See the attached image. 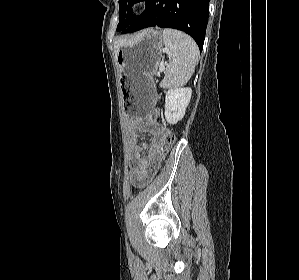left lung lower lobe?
<instances>
[{
  "label": "left lung lower lobe",
  "instance_id": "left-lung-lower-lobe-1",
  "mask_svg": "<svg viewBox=\"0 0 299 280\" xmlns=\"http://www.w3.org/2000/svg\"><path fill=\"white\" fill-rule=\"evenodd\" d=\"M146 6V10L134 17L122 34L152 26L174 28L188 33L202 51L209 0H146Z\"/></svg>",
  "mask_w": 299,
  "mask_h": 280
}]
</instances>
